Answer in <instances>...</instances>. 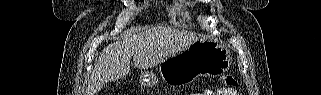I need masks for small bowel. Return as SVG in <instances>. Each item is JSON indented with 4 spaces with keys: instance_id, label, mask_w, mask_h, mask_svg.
I'll list each match as a JSON object with an SVG mask.
<instances>
[{
    "instance_id": "small-bowel-1",
    "label": "small bowel",
    "mask_w": 321,
    "mask_h": 95,
    "mask_svg": "<svg viewBox=\"0 0 321 95\" xmlns=\"http://www.w3.org/2000/svg\"><path fill=\"white\" fill-rule=\"evenodd\" d=\"M204 95H234L232 89H221L218 91L207 90L204 92Z\"/></svg>"
}]
</instances>
